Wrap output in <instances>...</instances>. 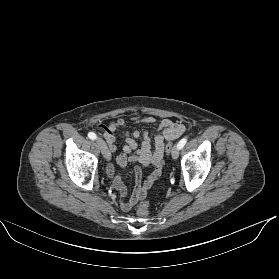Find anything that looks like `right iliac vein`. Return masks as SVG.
Returning <instances> with one entry per match:
<instances>
[{"label": "right iliac vein", "instance_id": "right-iliac-vein-1", "mask_svg": "<svg viewBox=\"0 0 279 279\" xmlns=\"http://www.w3.org/2000/svg\"><path fill=\"white\" fill-rule=\"evenodd\" d=\"M97 144L99 145L104 158L106 160H110L111 159V153H110L106 143L101 138H98L97 139Z\"/></svg>", "mask_w": 279, "mask_h": 279}]
</instances>
